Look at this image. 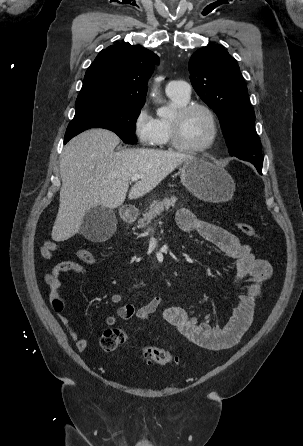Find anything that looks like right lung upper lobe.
I'll return each instance as SVG.
<instances>
[{"mask_svg": "<svg viewBox=\"0 0 303 446\" xmlns=\"http://www.w3.org/2000/svg\"><path fill=\"white\" fill-rule=\"evenodd\" d=\"M159 57L129 43L103 49L89 66L76 106L119 103L143 106L147 82Z\"/></svg>", "mask_w": 303, "mask_h": 446, "instance_id": "cb5924a9", "label": "right lung upper lobe"}]
</instances>
